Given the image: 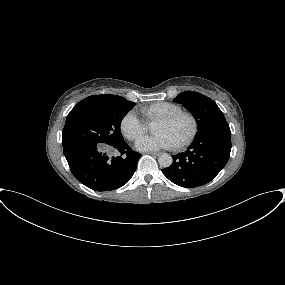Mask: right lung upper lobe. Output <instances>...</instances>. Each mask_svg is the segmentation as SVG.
<instances>
[{
  "instance_id": "cb5924a9",
  "label": "right lung upper lobe",
  "mask_w": 285,
  "mask_h": 285,
  "mask_svg": "<svg viewBox=\"0 0 285 285\" xmlns=\"http://www.w3.org/2000/svg\"><path fill=\"white\" fill-rule=\"evenodd\" d=\"M119 98H123V97L116 96V95H109V94L93 95V96H89V97L83 99L77 105H81V104H85V103H91V102L109 101V100L119 99Z\"/></svg>"
}]
</instances>
